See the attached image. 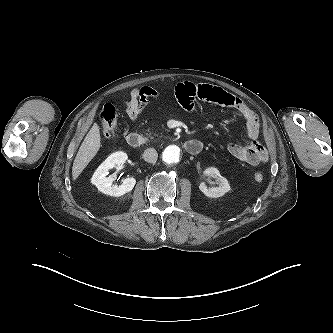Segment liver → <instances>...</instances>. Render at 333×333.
<instances>
[{
    "mask_svg": "<svg viewBox=\"0 0 333 333\" xmlns=\"http://www.w3.org/2000/svg\"><path fill=\"white\" fill-rule=\"evenodd\" d=\"M99 126L95 123L82 142L73 162L72 177L76 180L100 149Z\"/></svg>",
    "mask_w": 333,
    "mask_h": 333,
    "instance_id": "6515ba94",
    "label": "liver"
}]
</instances>
